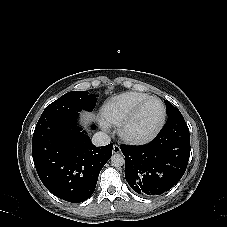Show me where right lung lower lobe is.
Segmentation results:
<instances>
[{"label": "right lung lower lobe", "mask_w": 227, "mask_h": 227, "mask_svg": "<svg viewBox=\"0 0 227 227\" xmlns=\"http://www.w3.org/2000/svg\"><path fill=\"white\" fill-rule=\"evenodd\" d=\"M77 118L78 113L41 116L32 140L40 180L55 196L71 203L83 202L93 194L113 149V144L95 147L77 127Z\"/></svg>", "instance_id": "1"}]
</instances>
